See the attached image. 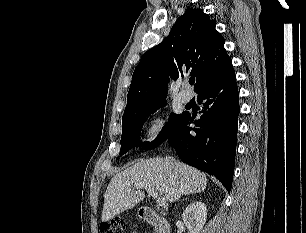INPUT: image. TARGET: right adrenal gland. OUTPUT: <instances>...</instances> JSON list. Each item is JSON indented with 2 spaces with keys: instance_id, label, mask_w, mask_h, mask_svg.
Listing matches in <instances>:
<instances>
[{
  "instance_id": "1",
  "label": "right adrenal gland",
  "mask_w": 306,
  "mask_h": 233,
  "mask_svg": "<svg viewBox=\"0 0 306 233\" xmlns=\"http://www.w3.org/2000/svg\"><path fill=\"white\" fill-rule=\"evenodd\" d=\"M187 199H188V197H186L184 200H187ZM184 200H183V201H184Z\"/></svg>"
}]
</instances>
